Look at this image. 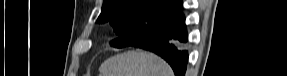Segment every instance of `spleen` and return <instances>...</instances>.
<instances>
[{
  "instance_id": "1",
  "label": "spleen",
  "mask_w": 287,
  "mask_h": 76,
  "mask_svg": "<svg viewBox=\"0 0 287 76\" xmlns=\"http://www.w3.org/2000/svg\"><path fill=\"white\" fill-rule=\"evenodd\" d=\"M101 76H173L171 67L160 57L145 51H127L107 59Z\"/></svg>"
}]
</instances>
